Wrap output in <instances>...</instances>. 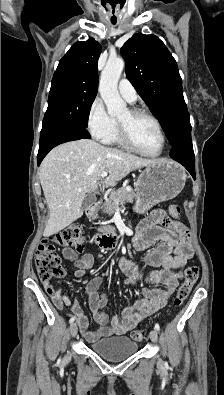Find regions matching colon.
<instances>
[{"label": "colon", "instance_id": "5ec220e1", "mask_svg": "<svg viewBox=\"0 0 224 395\" xmlns=\"http://www.w3.org/2000/svg\"><path fill=\"white\" fill-rule=\"evenodd\" d=\"M169 213L173 218H178L181 214V209L177 204H171ZM83 243V232L78 226L67 227L52 237L44 239L38 246L35 256V265L41 280L49 281L52 278H63L66 275L65 268L62 266L61 259L56 252V244L80 249ZM198 275L199 269L196 265H191L186 269L184 281L179 286L173 300L175 307L183 305L196 283ZM131 338L138 342L143 341L146 338V332L144 330H134Z\"/></svg>", "mask_w": 224, "mask_h": 395}]
</instances>
